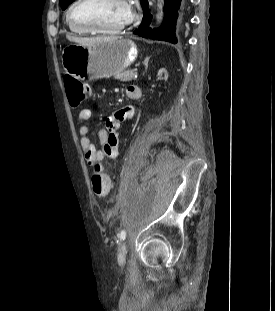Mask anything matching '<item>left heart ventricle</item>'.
<instances>
[{
	"instance_id": "1",
	"label": "left heart ventricle",
	"mask_w": 275,
	"mask_h": 311,
	"mask_svg": "<svg viewBox=\"0 0 275 311\" xmlns=\"http://www.w3.org/2000/svg\"><path fill=\"white\" fill-rule=\"evenodd\" d=\"M77 21L101 29L117 28L128 20V6L124 0H92L74 12Z\"/></svg>"
}]
</instances>
